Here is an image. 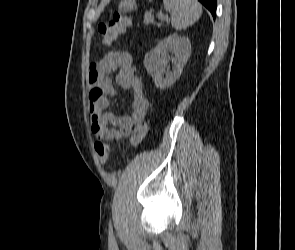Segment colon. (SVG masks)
I'll return each instance as SVG.
<instances>
[{
    "instance_id": "obj_1",
    "label": "colon",
    "mask_w": 295,
    "mask_h": 250,
    "mask_svg": "<svg viewBox=\"0 0 295 250\" xmlns=\"http://www.w3.org/2000/svg\"><path fill=\"white\" fill-rule=\"evenodd\" d=\"M130 24V19L127 15L115 12L112 18L107 23H100L97 26V32L104 43H112L121 34H123ZM147 123L143 122L135 127L132 145H138L146 136ZM95 151L101 163H106L111 152L112 147L102 142L95 143Z\"/></svg>"
}]
</instances>
